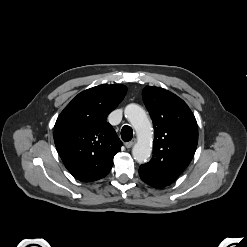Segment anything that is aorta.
<instances>
[{"mask_svg":"<svg viewBox=\"0 0 247 247\" xmlns=\"http://www.w3.org/2000/svg\"><path fill=\"white\" fill-rule=\"evenodd\" d=\"M125 117L136 131L138 141L133 146L132 155L138 163L146 162L152 151L153 138L152 124L145 110L137 104H129L124 110Z\"/></svg>","mask_w":247,"mask_h":247,"instance_id":"762f6f07","label":"aorta"}]
</instances>
